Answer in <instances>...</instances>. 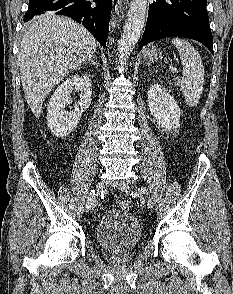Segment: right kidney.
<instances>
[{
    "instance_id": "right-kidney-1",
    "label": "right kidney",
    "mask_w": 233,
    "mask_h": 294,
    "mask_svg": "<svg viewBox=\"0 0 233 294\" xmlns=\"http://www.w3.org/2000/svg\"><path fill=\"white\" fill-rule=\"evenodd\" d=\"M73 90L80 92V99L75 104L74 111L67 113L65 106L71 103ZM92 83L86 75H73L57 87L50 98L47 112V124L57 137L69 135L77 126L82 113L91 104Z\"/></svg>"
}]
</instances>
